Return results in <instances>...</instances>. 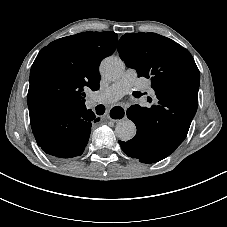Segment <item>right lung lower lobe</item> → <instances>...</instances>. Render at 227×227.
Returning a JSON list of instances; mask_svg holds the SVG:
<instances>
[{"label":"right lung lower lobe","mask_w":227,"mask_h":227,"mask_svg":"<svg viewBox=\"0 0 227 227\" xmlns=\"http://www.w3.org/2000/svg\"><path fill=\"white\" fill-rule=\"evenodd\" d=\"M30 123L37 144L58 158L80 156L89 140L95 114L84 107L62 108L55 102L39 99L29 108Z\"/></svg>","instance_id":"obj_1"}]
</instances>
